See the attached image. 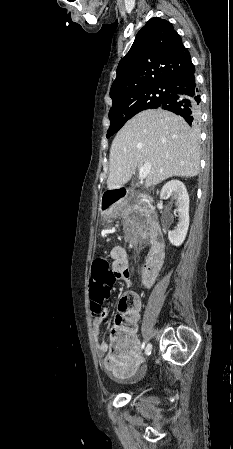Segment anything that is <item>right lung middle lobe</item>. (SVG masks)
I'll return each instance as SVG.
<instances>
[{
  "instance_id": "right-lung-middle-lobe-1",
  "label": "right lung middle lobe",
  "mask_w": 233,
  "mask_h": 449,
  "mask_svg": "<svg viewBox=\"0 0 233 449\" xmlns=\"http://www.w3.org/2000/svg\"><path fill=\"white\" fill-rule=\"evenodd\" d=\"M168 94V84H155L113 99V105L109 111L110 128L107 132V138L116 133L137 113L156 108Z\"/></svg>"
}]
</instances>
